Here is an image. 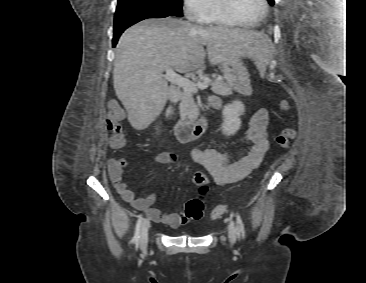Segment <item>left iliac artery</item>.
I'll return each mask as SVG.
<instances>
[{
    "label": "left iliac artery",
    "instance_id": "left-iliac-artery-1",
    "mask_svg": "<svg viewBox=\"0 0 366 283\" xmlns=\"http://www.w3.org/2000/svg\"><path fill=\"white\" fill-rule=\"evenodd\" d=\"M236 221H237V225H238V227H237L238 235L244 237V235H245L244 225H243L241 217L238 213L236 214Z\"/></svg>",
    "mask_w": 366,
    "mask_h": 283
}]
</instances>
